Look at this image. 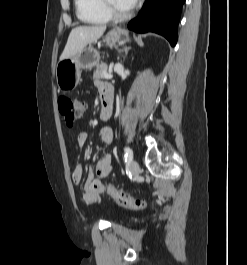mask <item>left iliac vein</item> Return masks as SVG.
I'll use <instances>...</instances> for the list:
<instances>
[{
	"label": "left iliac vein",
	"mask_w": 247,
	"mask_h": 265,
	"mask_svg": "<svg viewBox=\"0 0 247 265\" xmlns=\"http://www.w3.org/2000/svg\"><path fill=\"white\" fill-rule=\"evenodd\" d=\"M130 171L133 175H136L140 172V167L137 161L131 160L130 162Z\"/></svg>",
	"instance_id": "4c4485c4"
}]
</instances>
